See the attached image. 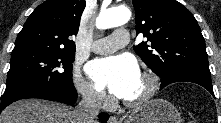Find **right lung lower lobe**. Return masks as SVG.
Here are the masks:
<instances>
[{"instance_id": "right-lung-lower-lobe-1", "label": "right lung lower lobe", "mask_w": 221, "mask_h": 123, "mask_svg": "<svg viewBox=\"0 0 221 123\" xmlns=\"http://www.w3.org/2000/svg\"><path fill=\"white\" fill-rule=\"evenodd\" d=\"M27 98H41L72 105L77 100V91L73 84H55L40 88L36 83H26L19 86L9 87L6 88L2 96L0 113L12 102ZM99 118L103 123H106L109 116L106 113H102L99 115Z\"/></svg>"}]
</instances>
